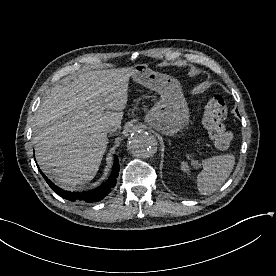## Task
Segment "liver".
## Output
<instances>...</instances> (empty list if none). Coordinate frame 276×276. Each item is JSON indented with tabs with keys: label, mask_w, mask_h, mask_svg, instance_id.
Returning <instances> with one entry per match:
<instances>
[{
	"label": "liver",
	"mask_w": 276,
	"mask_h": 276,
	"mask_svg": "<svg viewBox=\"0 0 276 276\" xmlns=\"http://www.w3.org/2000/svg\"><path fill=\"white\" fill-rule=\"evenodd\" d=\"M133 72L88 71L43 99L32 142L41 170L59 187L72 190L95 177L108 144L104 125L120 127Z\"/></svg>",
	"instance_id": "liver-1"
}]
</instances>
